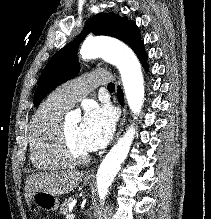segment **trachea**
<instances>
[{
    "mask_svg": "<svg viewBox=\"0 0 211 219\" xmlns=\"http://www.w3.org/2000/svg\"><path fill=\"white\" fill-rule=\"evenodd\" d=\"M108 89H109V90H114V89H115L114 83H109V84H108Z\"/></svg>",
    "mask_w": 211,
    "mask_h": 219,
    "instance_id": "obj_1",
    "label": "trachea"
}]
</instances>
